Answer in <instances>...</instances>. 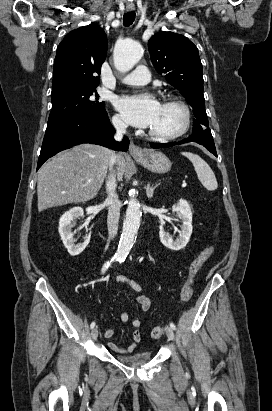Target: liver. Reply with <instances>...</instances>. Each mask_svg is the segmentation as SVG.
<instances>
[{
  "label": "liver",
  "instance_id": "6515ba94",
  "mask_svg": "<svg viewBox=\"0 0 272 411\" xmlns=\"http://www.w3.org/2000/svg\"><path fill=\"white\" fill-rule=\"evenodd\" d=\"M112 156L108 148L80 144L45 163L38 172V211L93 199L101 188ZM117 176L122 180L126 161L116 158Z\"/></svg>",
  "mask_w": 272,
  "mask_h": 411
}]
</instances>
